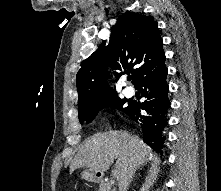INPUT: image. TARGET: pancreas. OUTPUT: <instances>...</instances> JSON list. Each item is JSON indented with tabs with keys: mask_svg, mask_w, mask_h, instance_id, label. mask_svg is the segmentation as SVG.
<instances>
[{
	"mask_svg": "<svg viewBox=\"0 0 221 191\" xmlns=\"http://www.w3.org/2000/svg\"><path fill=\"white\" fill-rule=\"evenodd\" d=\"M99 191H116V188H114L110 183L101 181L99 184Z\"/></svg>",
	"mask_w": 221,
	"mask_h": 191,
	"instance_id": "cf45deb5",
	"label": "pancreas"
}]
</instances>
